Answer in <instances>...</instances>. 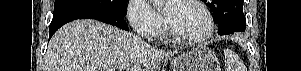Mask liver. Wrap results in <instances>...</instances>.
<instances>
[{"instance_id": "liver-1", "label": "liver", "mask_w": 301, "mask_h": 71, "mask_svg": "<svg viewBox=\"0 0 301 71\" xmlns=\"http://www.w3.org/2000/svg\"><path fill=\"white\" fill-rule=\"evenodd\" d=\"M174 54L117 27L76 20L51 38L43 71H156L161 60Z\"/></svg>"}]
</instances>
